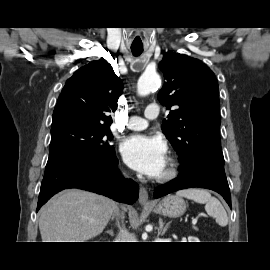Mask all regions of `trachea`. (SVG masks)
<instances>
[{
	"label": "trachea",
	"instance_id": "obj_1",
	"mask_svg": "<svg viewBox=\"0 0 270 270\" xmlns=\"http://www.w3.org/2000/svg\"><path fill=\"white\" fill-rule=\"evenodd\" d=\"M131 51L134 56H139L143 52V48H131Z\"/></svg>",
	"mask_w": 270,
	"mask_h": 270
}]
</instances>
